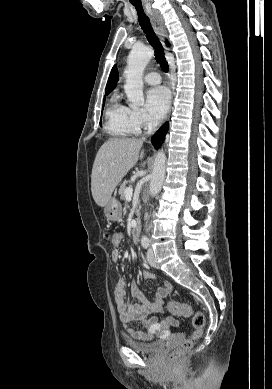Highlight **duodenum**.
I'll list each match as a JSON object with an SVG mask.
<instances>
[{
  "label": "duodenum",
  "mask_w": 272,
  "mask_h": 389,
  "mask_svg": "<svg viewBox=\"0 0 272 389\" xmlns=\"http://www.w3.org/2000/svg\"><path fill=\"white\" fill-rule=\"evenodd\" d=\"M141 226L136 223L131 229V238L134 242H138L140 239Z\"/></svg>",
  "instance_id": "1"
}]
</instances>
